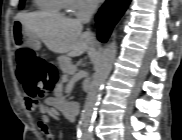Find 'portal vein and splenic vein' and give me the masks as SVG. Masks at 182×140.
I'll use <instances>...</instances> for the list:
<instances>
[{
	"mask_svg": "<svg viewBox=\"0 0 182 140\" xmlns=\"http://www.w3.org/2000/svg\"><path fill=\"white\" fill-rule=\"evenodd\" d=\"M76 72V69H73L70 74H74Z\"/></svg>",
	"mask_w": 182,
	"mask_h": 140,
	"instance_id": "obj_1",
	"label": "portal vein and splenic vein"
}]
</instances>
